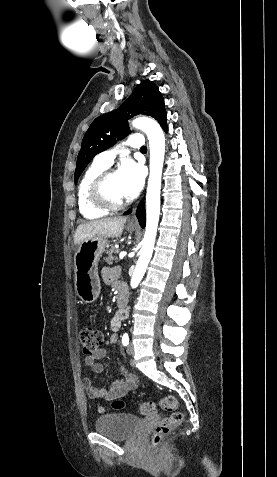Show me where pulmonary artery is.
<instances>
[{"label": "pulmonary artery", "mask_w": 277, "mask_h": 477, "mask_svg": "<svg viewBox=\"0 0 277 477\" xmlns=\"http://www.w3.org/2000/svg\"><path fill=\"white\" fill-rule=\"evenodd\" d=\"M127 145L132 147V148H140L143 145L142 135H140V134L132 135L128 139ZM115 154H116L115 150L104 151L97 156L96 161L98 163L102 164L103 166L108 167L112 164L113 159L115 157Z\"/></svg>", "instance_id": "pulmonary-artery-1"}]
</instances>
